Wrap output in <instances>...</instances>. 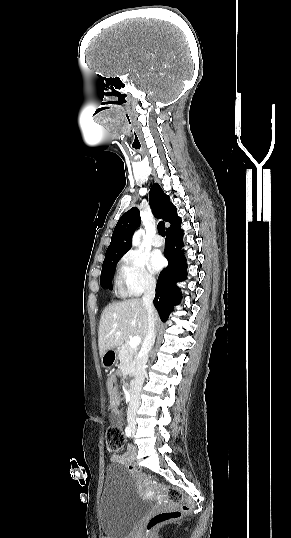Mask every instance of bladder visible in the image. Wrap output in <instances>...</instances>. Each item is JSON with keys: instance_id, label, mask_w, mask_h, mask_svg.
Instances as JSON below:
<instances>
[{"instance_id": "bladder-1", "label": "bladder", "mask_w": 291, "mask_h": 538, "mask_svg": "<svg viewBox=\"0 0 291 538\" xmlns=\"http://www.w3.org/2000/svg\"><path fill=\"white\" fill-rule=\"evenodd\" d=\"M152 508L138 495L136 483L123 465L106 467L99 504V525L105 538H126Z\"/></svg>"}]
</instances>
